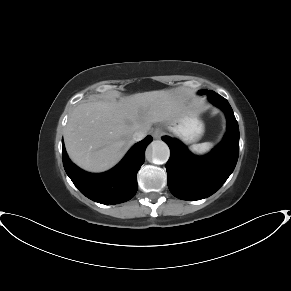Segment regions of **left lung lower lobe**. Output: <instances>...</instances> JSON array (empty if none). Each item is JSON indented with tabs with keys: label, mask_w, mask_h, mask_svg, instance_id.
Here are the masks:
<instances>
[{
	"label": "left lung lower lobe",
	"mask_w": 291,
	"mask_h": 291,
	"mask_svg": "<svg viewBox=\"0 0 291 291\" xmlns=\"http://www.w3.org/2000/svg\"><path fill=\"white\" fill-rule=\"evenodd\" d=\"M208 99L227 118V132L221 143L206 156H195L178 140L163 136L171 156L166 164L168 187L182 200H200L214 194L233 172L239 154V127L228 101L207 91Z\"/></svg>",
	"instance_id": "0a47b994"
}]
</instances>
